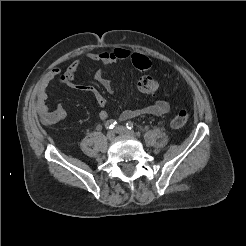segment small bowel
<instances>
[{"label":"small bowel","mask_w":246,"mask_h":246,"mask_svg":"<svg viewBox=\"0 0 246 246\" xmlns=\"http://www.w3.org/2000/svg\"><path fill=\"white\" fill-rule=\"evenodd\" d=\"M131 52L126 48H116L112 51H104L100 53L89 52L85 56L87 59L100 62L104 65H110L120 60H127L131 57ZM80 61L76 60L71 63L68 67L61 70L59 68H53L43 79L39 82L36 92V112L40 119L45 124H55L63 120L67 113L62 106H56L50 109L46 103L48 94L47 90L50 84L54 81H58L73 89L86 91L91 93L98 106L100 107L99 118L106 120L108 118V112L105 109L107 100L104 95L99 92L95 87L91 85H79L75 82L77 70L80 66ZM94 79L101 84L108 93H113V87L111 81L105 76L103 71L98 70L94 74ZM170 111V105L166 101H156L150 105L144 106L138 109H126L121 115V120H128L143 115H165Z\"/></svg>","instance_id":"obj_1"}]
</instances>
